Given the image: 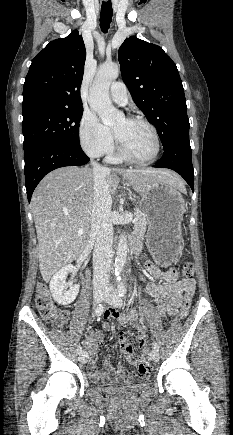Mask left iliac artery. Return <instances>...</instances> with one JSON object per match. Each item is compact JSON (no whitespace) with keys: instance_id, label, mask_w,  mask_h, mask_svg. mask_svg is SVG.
Listing matches in <instances>:
<instances>
[{"instance_id":"1","label":"left iliac artery","mask_w":233,"mask_h":435,"mask_svg":"<svg viewBox=\"0 0 233 435\" xmlns=\"http://www.w3.org/2000/svg\"><path fill=\"white\" fill-rule=\"evenodd\" d=\"M117 280H118V293H119V296L124 297L126 295V287H125L121 277H118ZM153 348L156 351H159V345L156 342L153 343Z\"/></svg>"}]
</instances>
